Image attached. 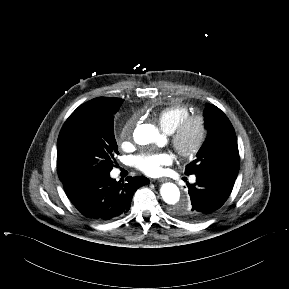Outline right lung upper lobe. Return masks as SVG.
<instances>
[{"label":"right lung upper lobe","instance_id":"obj_1","mask_svg":"<svg viewBox=\"0 0 289 289\" xmlns=\"http://www.w3.org/2000/svg\"><path fill=\"white\" fill-rule=\"evenodd\" d=\"M72 183H63L64 187H68L69 185H71Z\"/></svg>","mask_w":289,"mask_h":289}]
</instances>
